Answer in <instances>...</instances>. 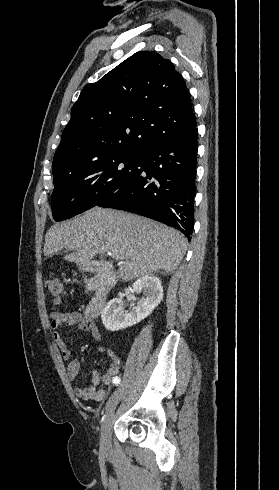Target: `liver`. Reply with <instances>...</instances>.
Instances as JSON below:
<instances>
[{
	"label": "liver",
	"instance_id": "1",
	"mask_svg": "<svg viewBox=\"0 0 279 490\" xmlns=\"http://www.w3.org/2000/svg\"><path fill=\"white\" fill-rule=\"evenodd\" d=\"M60 250L71 252L64 260L80 268L91 264L97 254H112L121 260L118 278L129 282L157 270L173 274L186 254L187 240L181 232L154 220L96 206L49 228L43 254L52 256Z\"/></svg>",
	"mask_w": 279,
	"mask_h": 490
}]
</instances>
